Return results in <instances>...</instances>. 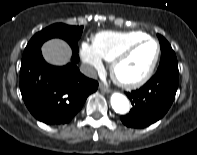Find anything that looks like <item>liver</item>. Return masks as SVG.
Listing matches in <instances>:
<instances>
[{"instance_id":"6515ba94","label":"liver","mask_w":197,"mask_h":155,"mask_svg":"<svg viewBox=\"0 0 197 155\" xmlns=\"http://www.w3.org/2000/svg\"><path fill=\"white\" fill-rule=\"evenodd\" d=\"M42 53L47 62L53 65H64L69 61L71 50L61 39H52L44 43Z\"/></svg>"}]
</instances>
